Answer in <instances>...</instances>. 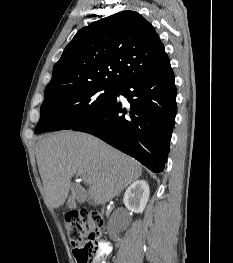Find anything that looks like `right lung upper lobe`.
Returning a JSON list of instances; mask_svg holds the SVG:
<instances>
[{
    "label": "right lung upper lobe",
    "mask_w": 233,
    "mask_h": 263,
    "mask_svg": "<svg viewBox=\"0 0 233 263\" xmlns=\"http://www.w3.org/2000/svg\"><path fill=\"white\" fill-rule=\"evenodd\" d=\"M170 67L154 27L139 13L122 11L77 32L53 68L45 98L90 85L118 87Z\"/></svg>",
    "instance_id": "obj_1"
}]
</instances>
